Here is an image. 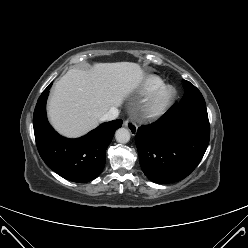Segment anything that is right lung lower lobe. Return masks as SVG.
I'll return each mask as SVG.
<instances>
[{"mask_svg": "<svg viewBox=\"0 0 248 248\" xmlns=\"http://www.w3.org/2000/svg\"><path fill=\"white\" fill-rule=\"evenodd\" d=\"M51 84L43 91L34 110L33 126L37 148L47 166L73 182H88L105 166V152L122 120L101 124L77 139L60 136L48 123L46 100Z\"/></svg>", "mask_w": 248, "mask_h": 248, "instance_id": "obj_1", "label": "right lung lower lobe"}]
</instances>
